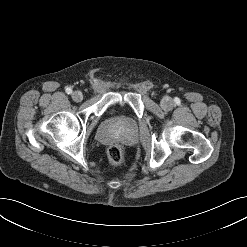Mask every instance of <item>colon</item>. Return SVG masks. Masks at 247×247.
Listing matches in <instances>:
<instances>
[{
	"label": "colon",
	"mask_w": 247,
	"mask_h": 247,
	"mask_svg": "<svg viewBox=\"0 0 247 247\" xmlns=\"http://www.w3.org/2000/svg\"><path fill=\"white\" fill-rule=\"evenodd\" d=\"M108 158L114 165L120 166L125 162L126 156L122 146L113 144L108 149Z\"/></svg>",
	"instance_id": "colon-1"
}]
</instances>
